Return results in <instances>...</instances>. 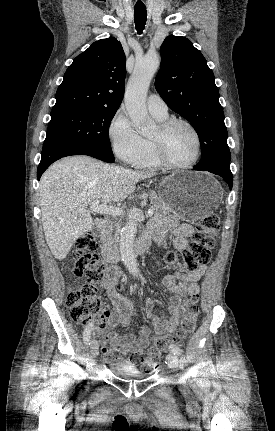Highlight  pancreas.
Here are the masks:
<instances>
[{
	"label": "pancreas",
	"mask_w": 275,
	"mask_h": 431,
	"mask_svg": "<svg viewBox=\"0 0 275 431\" xmlns=\"http://www.w3.org/2000/svg\"><path fill=\"white\" fill-rule=\"evenodd\" d=\"M150 198H151V205L152 208L156 211V215L160 214H168L170 212L169 206L160 198L157 196V194L153 191L149 192ZM117 231L116 234L113 236V226H109L106 232L103 234V240L107 242V244L112 245L117 237V234L119 232L120 223L116 224Z\"/></svg>",
	"instance_id": "pancreas-1"
}]
</instances>
